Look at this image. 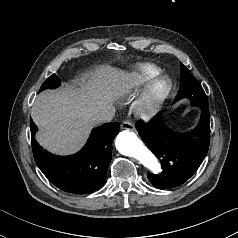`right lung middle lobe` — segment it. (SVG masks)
Here are the masks:
<instances>
[{"label": "right lung middle lobe", "instance_id": "1", "mask_svg": "<svg viewBox=\"0 0 238 238\" xmlns=\"http://www.w3.org/2000/svg\"><path fill=\"white\" fill-rule=\"evenodd\" d=\"M59 85H60L59 78L55 74H53L42 84L39 92H41L45 89L56 88Z\"/></svg>", "mask_w": 238, "mask_h": 238}]
</instances>
